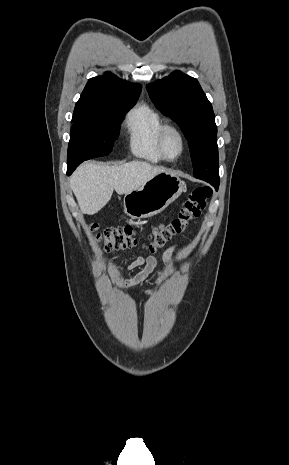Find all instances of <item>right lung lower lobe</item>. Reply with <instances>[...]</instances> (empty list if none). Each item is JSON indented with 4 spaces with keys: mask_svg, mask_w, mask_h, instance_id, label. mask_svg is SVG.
<instances>
[{
    "mask_svg": "<svg viewBox=\"0 0 289 465\" xmlns=\"http://www.w3.org/2000/svg\"><path fill=\"white\" fill-rule=\"evenodd\" d=\"M80 163H81L80 161H78V162H68L67 163V175H70Z\"/></svg>",
    "mask_w": 289,
    "mask_h": 465,
    "instance_id": "98d812e1",
    "label": "right lung lower lobe"
}]
</instances>
